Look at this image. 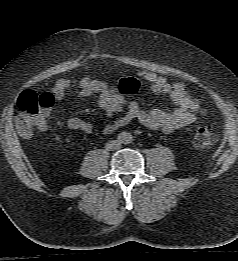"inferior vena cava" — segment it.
Returning <instances> with one entry per match:
<instances>
[{"label": "inferior vena cava", "mask_w": 238, "mask_h": 261, "mask_svg": "<svg viewBox=\"0 0 238 261\" xmlns=\"http://www.w3.org/2000/svg\"><path fill=\"white\" fill-rule=\"evenodd\" d=\"M121 147V144L117 140H112L106 144V149L108 150H116Z\"/></svg>", "instance_id": "inferior-vena-cava-1"}]
</instances>
